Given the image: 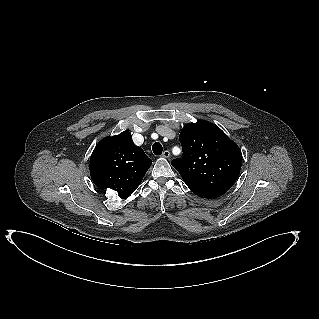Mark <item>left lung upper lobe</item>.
<instances>
[{"instance_id":"5c2ea615","label":"left lung upper lobe","mask_w":319,"mask_h":319,"mask_svg":"<svg viewBox=\"0 0 319 319\" xmlns=\"http://www.w3.org/2000/svg\"><path fill=\"white\" fill-rule=\"evenodd\" d=\"M183 156L172 161L186 185L196 195L216 198L236 182L242 153L216 125L200 120L181 130Z\"/></svg>"}]
</instances>
